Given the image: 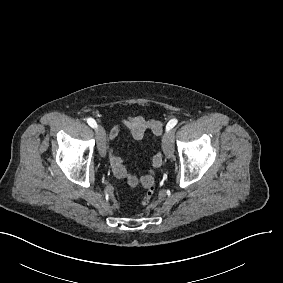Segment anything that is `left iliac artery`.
Instances as JSON below:
<instances>
[{"instance_id": "44dca946", "label": "left iliac artery", "mask_w": 283, "mask_h": 283, "mask_svg": "<svg viewBox=\"0 0 283 283\" xmlns=\"http://www.w3.org/2000/svg\"><path fill=\"white\" fill-rule=\"evenodd\" d=\"M178 120L177 119H172L167 123L166 126V131H169L170 129H172L176 124H177Z\"/></svg>"}]
</instances>
